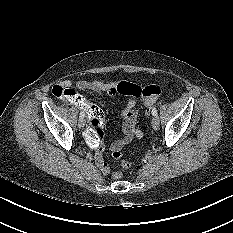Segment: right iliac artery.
I'll return each instance as SVG.
<instances>
[{"instance_id":"82829eb1","label":"right iliac artery","mask_w":233,"mask_h":233,"mask_svg":"<svg viewBox=\"0 0 233 233\" xmlns=\"http://www.w3.org/2000/svg\"><path fill=\"white\" fill-rule=\"evenodd\" d=\"M84 116H85V113H84L83 111H81V112H80V117H81V118H84Z\"/></svg>"}]
</instances>
